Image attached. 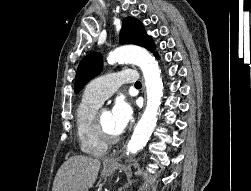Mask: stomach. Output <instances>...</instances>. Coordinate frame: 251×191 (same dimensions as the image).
<instances>
[{
  "mask_svg": "<svg viewBox=\"0 0 251 191\" xmlns=\"http://www.w3.org/2000/svg\"><path fill=\"white\" fill-rule=\"evenodd\" d=\"M118 167H120V163H118V157H117V161L115 163V165H113V167H103L102 171H101V175L102 177H107V175H111V173H113V171H115V169H118Z\"/></svg>",
  "mask_w": 251,
  "mask_h": 191,
  "instance_id": "obj_1",
  "label": "stomach"
}]
</instances>
